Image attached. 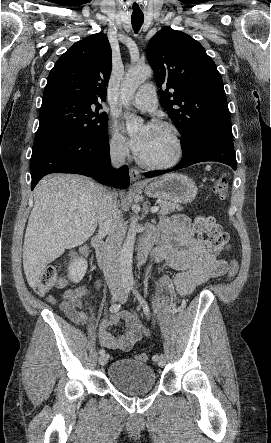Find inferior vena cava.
I'll use <instances>...</instances> for the list:
<instances>
[{
    "instance_id": "inferior-vena-cava-1",
    "label": "inferior vena cava",
    "mask_w": 271,
    "mask_h": 443,
    "mask_svg": "<svg viewBox=\"0 0 271 443\" xmlns=\"http://www.w3.org/2000/svg\"><path fill=\"white\" fill-rule=\"evenodd\" d=\"M128 152V146L123 140L111 144L110 158L112 166L114 168L123 166ZM101 194V212L98 218L99 231L108 233L102 251L101 265L111 296H126L119 269V253L126 227L125 223H121V212L117 206L118 194L117 192H109L107 188H102Z\"/></svg>"
}]
</instances>
